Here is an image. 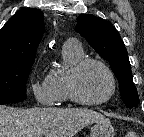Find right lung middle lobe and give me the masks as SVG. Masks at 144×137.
<instances>
[{
	"mask_svg": "<svg viewBox=\"0 0 144 137\" xmlns=\"http://www.w3.org/2000/svg\"><path fill=\"white\" fill-rule=\"evenodd\" d=\"M35 59L0 63V104L26 99V81Z\"/></svg>",
	"mask_w": 144,
	"mask_h": 137,
	"instance_id": "obj_1",
	"label": "right lung middle lobe"
}]
</instances>
